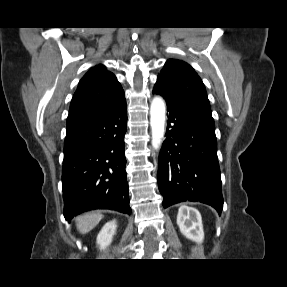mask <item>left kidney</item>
I'll return each mask as SVG.
<instances>
[{
  "label": "left kidney",
  "instance_id": "1",
  "mask_svg": "<svg viewBox=\"0 0 287 287\" xmlns=\"http://www.w3.org/2000/svg\"><path fill=\"white\" fill-rule=\"evenodd\" d=\"M177 224L180 232L188 239L201 243L204 239L202 218L199 211L188 206H181L178 210Z\"/></svg>",
  "mask_w": 287,
  "mask_h": 287
}]
</instances>
